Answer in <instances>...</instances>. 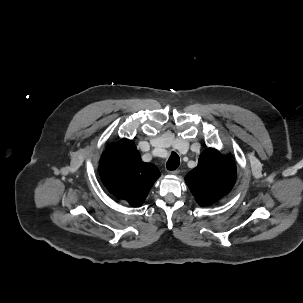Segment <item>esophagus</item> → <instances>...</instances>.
I'll list each match as a JSON object with an SVG mask.
<instances>
[{"mask_svg": "<svg viewBox=\"0 0 303 303\" xmlns=\"http://www.w3.org/2000/svg\"><path fill=\"white\" fill-rule=\"evenodd\" d=\"M170 173L172 175H178L180 173V170L176 169V170L170 171Z\"/></svg>", "mask_w": 303, "mask_h": 303, "instance_id": "esophagus-1", "label": "esophagus"}]
</instances>
